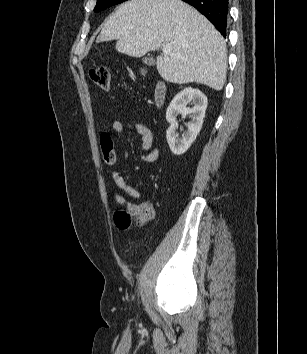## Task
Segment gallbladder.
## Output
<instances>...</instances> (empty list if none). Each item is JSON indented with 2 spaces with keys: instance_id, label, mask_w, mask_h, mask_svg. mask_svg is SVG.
<instances>
[{
  "instance_id": "1",
  "label": "gallbladder",
  "mask_w": 307,
  "mask_h": 354,
  "mask_svg": "<svg viewBox=\"0 0 307 354\" xmlns=\"http://www.w3.org/2000/svg\"><path fill=\"white\" fill-rule=\"evenodd\" d=\"M145 63L149 66H153L155 64V60L153 58H146Z\"/></svg>"
}]
</instances>
